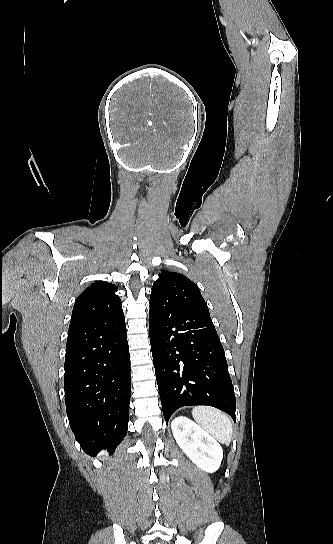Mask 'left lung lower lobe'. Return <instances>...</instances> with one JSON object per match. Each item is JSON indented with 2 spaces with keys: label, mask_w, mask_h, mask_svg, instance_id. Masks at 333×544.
<instances>
[{
  "label": "left lung lower lobe",
  "mask_w": 333,
  "mask_h": 544,
  "mask_svg": "<svg viewBox=\"0 0 333 544\" xmlns=\"http://www.w3.org/2000/svg\"><path fill=\"white\" fill-rule=\"evenodd\" d=\"M150 342L166 423L175 410L208 405L235 421L224 349L209 314L150 301Z\"/></svg>",
  "instance_id": "0a47b994"
}]
</instances>
